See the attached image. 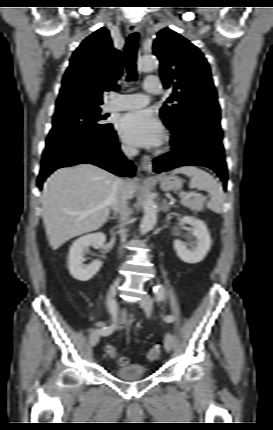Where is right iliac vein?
Returning <instances> with one entry per match:
<instances>
[{"mask_svg": "<svg viewBox=\"0 0 273 430\" xmlns=\"http://www.w3.org/2000/svg\"><path fill=\"white\" fill-rule=\"evenodd\" d=\"M120 283H121V279H120V278H117V279L114 281V283L111 285V287H110V289H109V291H108V295H107V297H108V302L112 301V300H113V298L115 297L116 292H117V289H118V287H119ZM115 309L117 310V305H115ZM100 335H101V334H100L99 332H95V333H93V334L91 335V337H90V345H91V346H95V345L99 342V340H100Z\"/></svg>", "mask_w": 273, "mask_h": 430, "instance_id": "obj_1", "label": "right iliac vein"}]
</instances>
